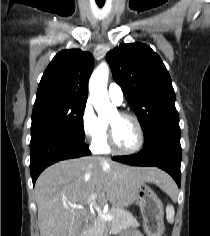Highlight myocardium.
I'll return each mask as SVG.
<instances>
[{
	"instance_id": "f54148a6",
	"label": "myocardium",
	"mask_w": 210,
	"mask_h": 236,
	"mask_svg": "<svg viewBox=\"0 0 210 236\" xmlns=\"http://www.w3.org/2000/svg\"><path fill=\"white\" fill-rule=\"evenodd\" d=\"M118 115L120 117L129 118L135 122L137 131H138V142L136 146L133 147L132 149H127V150L121 149L115 142L113 127L111 123L108 122V145L110 149L117 154H121V155L135 154L141 150L145 141V134H144L142 123L136 115L130 112H119Z\"/></svg>"
}]
</instances>
